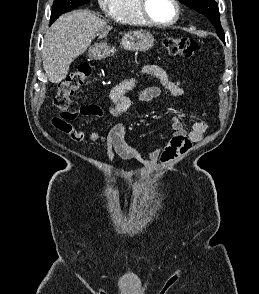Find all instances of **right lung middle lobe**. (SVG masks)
<instances>
[{
  "mask_svg": "<svg viewBox=\"0 0 259 294\" xmlns=\"http://www.w3.org/2000/svg\"><path fill=\"white\" fill-rule=\"evenodd\" d=\"M90 0H54L50 22L53 23L61 14L69 12Z\"/></svg>",
  "mask_w": 259,
  "mask_h": 294,
  "instance_id": "right-lung-middle-lobe-1",
  "label": "right lung middle lobe"
}]
</instances>
